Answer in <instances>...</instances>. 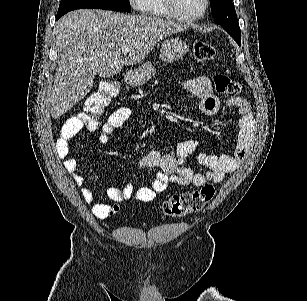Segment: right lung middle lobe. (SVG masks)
<instances>
[{
  "instance_id": "1",
  "label": "right lung middle lobe",
  "mask_w": 307,
  "mask_h": 301,
  "mask_svg": "<svg viewBox=\"0 0 307 301\" xmlns=\"http://www.w3.org/2000/svg\"><path fill=\"white\" fill-rule=\"evenodd\" d=\"M81 8L131 12L129 0H62L57 12V18L69 11Z\"/></svg>"
}]
</instances>
